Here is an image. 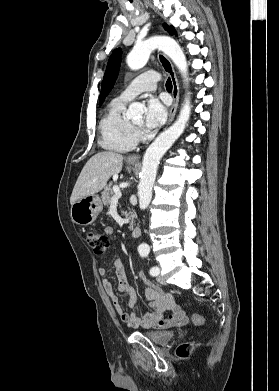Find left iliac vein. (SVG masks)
<instances>
[{"label": "left iliac vein", "mask_w": 279, "mask_h": 391, "mask_svg": "<svg viewBox=\"0 0 279 391\" xmlns=\"http://www.w3.org/2000/svg\"><path fill=\"white\" fill-rule=\"evenodd\" d=\"M157 281L160 283V284H166V281L165 279L161 276V275H158L157 276Z\"/></svg>", "instance_id": "4c4485c4"}]
</instances>
